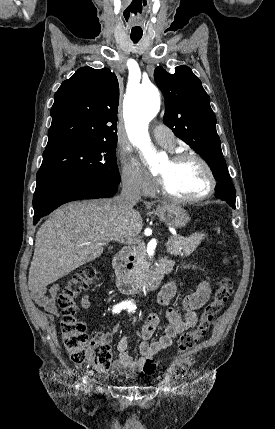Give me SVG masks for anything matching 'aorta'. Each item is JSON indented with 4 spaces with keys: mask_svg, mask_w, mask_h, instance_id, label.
Returning <instances> with one entry per match:
<instances>
[{
    "mask_svg": "<svg viewBox=\"0 0 275 429\" xmlns=\"http://www.w3.org/2000/svg\"><path fill=\"white\" fill-rule=\"evenodd\" d=\"M161 98L158 89L152 84L139 85L128 94L124 103V120L131 142L144 152L152 169L158 167L148 124L158 114Z\"/></svg>",
    "mask_w": 275,
    "mask_h": 429,
    "instance_id": "aorta-1",
    "label": "aorta"
}]
</instances>
